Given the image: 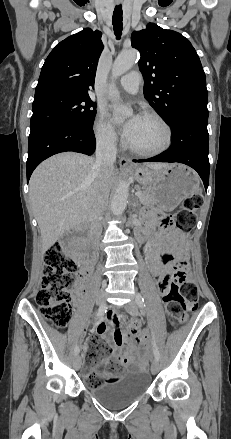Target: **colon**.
<instances>
[{
  "instance_id": "1",
  "label": "colon",
  "mask_w": 231,
  "mask_h": 439,
  "mask_svg": "<svg viewBox=\"0 0 231 439\" xmlns=\"http://www.w3.org/2000/svg\"><path fill=\"white\" fill-rule=\"evenodd\" d=\"M202 205L201 195H193L185 199L183 207L173 218L164 217L161 223L164 227L172 222L182 231L189 232L196 222L195 211ZM187 260L185 254L175 260L176 273L165 287L163 301L167 315L174 321L184 318L187 311L195 310L199 299L198 286L188 279ZM78 276L76 260L68 255L61 243L50 246L44 254V275L41 288L36 295V304L41 315L56 325L65 327L71 317V299ZM132 333L137 332L138 325L130 328ZM86 362L89 366L111 353V348L99 337H91L86 344ZM114 363L109 361L105 370L111 369ZM122 372H112L106 375L92 372L87 378L89 387H98L107 382H116L122 378Z\"/></svg>"
}]
</instances>
